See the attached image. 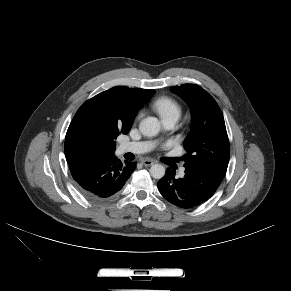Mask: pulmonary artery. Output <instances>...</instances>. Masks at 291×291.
<instances>
[{"instance_id": "1", "label": "pulmonary artery", "mask_w": 291, "mask_h": 291, "mask_svg": "<svg viewBox=\"0 0 291 291\" xmlns=\"http://www.w3.org/2000/svg\"><path fill=\"white\" fill-rule=\"evenodd\" d=\"M177 122L176 118H169L163 120L164 126L167 129H172ZM154 147V143L152 141H141V142H127L123 143L120 147L119 150L122 153H135V154H141V153H146L150 151ZM181 174H184V169H181L180 171Z\"/></svg>"}]
</instances>
